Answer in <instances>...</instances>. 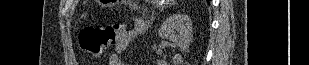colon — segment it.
<instances>
[{
  "label": "colon",
  "mask_w": 309,
  "mask_h": 65,
  "mask_svg": "<svg viewBox=\"0 0 309 65\" xmlns=\"http://www.w3.org/2000/svg\"><path fill=\"white\" fill-rule=\"evenodd\" d=\"M121 24L95 25L82 29L79 33L81 48L92 57H99L104 50L114 45L122 35Z\"/></svg>",
  "instance_id": "1"
}]
</instances>
